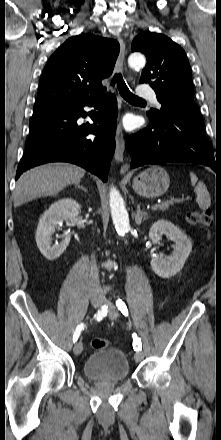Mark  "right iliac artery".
I'll use <instances>...</instances> for the list:
<instances>
[{
	"instance_id": "obj_1",
	"label": "right iliac artery",
	"mask_w": 221,
	"mask_h": 440,
	"mask_svg": "<svg viewBox=\"0 0 221 440\" xmlns=\"http://www.w3.org/2000/svg\"><path fill=\"white\" fill-rule=\"evenodd\" d=\"M107 306L104 305L100 310H98V312L95 314L94 318L97 321L102 320L103 317H105L107 315ZM84 329V324L79 325L76 328V331L73 335V341L76 342L78 337L80 336L81 331Z\"/></svg>"
}]
</instances>
